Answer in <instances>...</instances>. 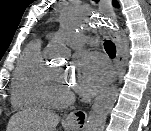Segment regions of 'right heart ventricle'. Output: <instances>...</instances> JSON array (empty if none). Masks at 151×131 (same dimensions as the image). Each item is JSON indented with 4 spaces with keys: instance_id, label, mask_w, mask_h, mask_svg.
<instances>
[{
    "instance_id": "obj_1",
    "label": "right heart ventricle",
    "mask_w": 151,
    "mask_h": 131,
    "mask_svg": "<svg viewBox=\"0 0 151 131\" xmlns=\"http://www.w3.org/2000/svg\"><path fill=\"white\" fill-rule=\"evenodd\" d=\"M47 67L42 55L41 41L30 42L24 48L14 73L11 102L15 108H32L43 104L38 85Z\"/></svg>"
}]
</instances>
